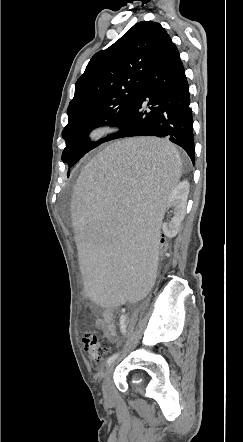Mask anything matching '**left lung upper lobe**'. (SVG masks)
<instances>
[{"label": "left lung upper lobe", "mask_w": 243, "mask_h": 442, "mask_svg": "<svg viewBox=\"0 0 243 442\" xmlns=\"http://www.w3.org/2000/svg\"><path fill=\"white\" fill-rule=\"evenodd\" d=\"M156 22L134 25L106 50L97 52L77 80L75 95L62 131L66 148L62 161L69 167L106 139L91 142L95 127L118 126L136 105L145 77L169 39Z\"/></svg>", "instance_id": "left-lung-upper-lobe-1"}]
</instances>
